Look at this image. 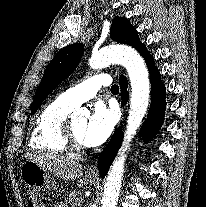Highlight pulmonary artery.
<instances>
[{
  "instance_id": "e3ab8cb5",
  "label": "pulmonary artery",
  "mask_w": 206,
  "mask_h": 207,
  "mask_svg": "<svg viewBox=\"0 0 206 207\" xmlns=\"http://www.w3.org/2000/svg\"><path fill=\"white\" fill-rule=\"evenodd\" d=\"M111 77L108 74H98L90 77L75 87L66 90L61 96L71 106L77 108L83 102L95 96L102 86H108Z\"/></svg>"
}]
</instances>
